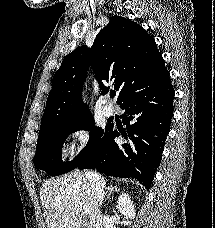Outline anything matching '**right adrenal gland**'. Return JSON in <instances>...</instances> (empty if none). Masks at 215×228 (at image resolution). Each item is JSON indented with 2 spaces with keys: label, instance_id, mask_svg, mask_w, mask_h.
<instances>
[{
  "label": "right adrenal gland",
  "instance_id": "obj_1",
  "mask_svg": "<svg viewBox=\"0 0 215 228\" xmlns=\"http://www.w3.org/2000/svg\"><path fill=\"white\" fill-rule=\"evenodd\" d=\"M114 192H120V188H118V186H110L107 198H110Z\"/></svg>",
  "mask_w": 215,
  "mask_h": 228
}]
</instances>
